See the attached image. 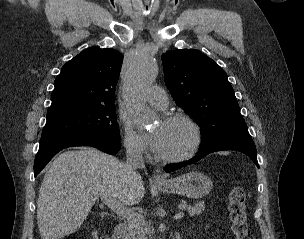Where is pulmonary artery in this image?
Returning a JSON list of instances; mask_svg holds the SVG:
<instances>
[{
    "label": "pulmonary artery",
    "mask_w": 304,
    "mask_h": 239,
    "mask_svg": "<svg viewBox=\"0 0 304 239\" xmlns=\"http://www.w3.org/2000/svg\"><path fill=\"white\" fill-rule=\"evenodd\" d=\"M147 101L154 107L164 109L168 105L166 92L159 86H152L146 93Z\"/></svg>",
    "instance_id": "obj_1"
}]
</instances>
